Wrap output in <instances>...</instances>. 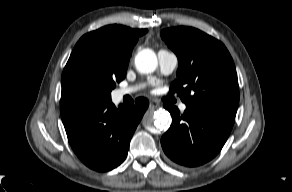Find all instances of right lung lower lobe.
Wrapping results in <instances>:
<instances>
[{
    "label": "right lung lower lobe",
    "instance_id": "obj_1",
    "mask_svg": "<svg viewBox=\"0 0 292 192\" xmlns=\"http://www.w3.org/2000/svg\"><path fill=\"white\" fill-rule=\"evenodd\" d=\"M135 105L109 102L61 101V118L69 143L79 159L96 171H109L126 158L132 135L148 108V100Z\"/></svg>",
    "mask_w": 292,
    "mask_h": 192
}]
</instances>
